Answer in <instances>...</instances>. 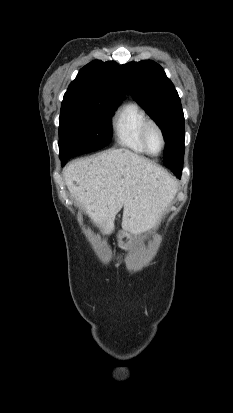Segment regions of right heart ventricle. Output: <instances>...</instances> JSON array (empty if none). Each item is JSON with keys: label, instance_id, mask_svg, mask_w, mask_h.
<instances>
[{"label": "right heart ventricle", "instance_id": "obj_1", "mask_svg": "<svg viewBox=\"0 0 233 413\" xmlns=\"http://www.w3.org/2000/svg\"><path fill=\"white\" fill-rule=\"evenodd\" d=\"M148 119L145 109L137 101H129L120 107L113 119V131L117 144L135 153L146 154L140 131Z\"/></svg>", "mask_w": 233, "mask_h": 413}]
</instances>
